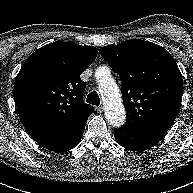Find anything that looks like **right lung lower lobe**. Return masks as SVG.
I'll use <instances>...</instances> for the list:
<instances>
[{
	"mask_svg": "<svg viewBox=\"0 0 193 193\" xmlns=\"http://www.w3.org/2000/svg\"><path fill=\"white\" fill-rule=\"evenodd\" d=\"M81 123L74 128L50 137L35 140L40 146L55 152H64L74 148L82 138L85 125Z\"/></svg>",
	"mask_w": 193,
	"mask_h": 193,
	"instance_id": "98d812e1",
	"label": "right lung lower lobe"
}]
</instances>
